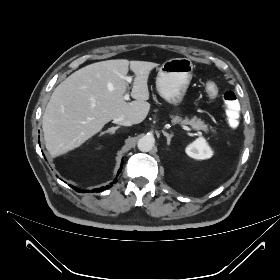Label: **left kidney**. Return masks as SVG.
<instances>
[{"mask_svg": "<svg viewBox=\"0 0 280 280\" xmlns=\"http://www.w3.org/2000/svg\"><path fill=\"white\" fill-rule=\"evenodd\" d=\"M185 152L189 157L198 160L209 159L213 155V151L203 137H199L189 144L186 147Z\"/></svg>", "mask_w": 280, "mask_h": 280, "instance_id": "5707ae66", "label": "left kidney"}]
</instances>
